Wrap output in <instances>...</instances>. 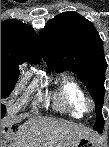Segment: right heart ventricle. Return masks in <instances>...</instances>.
Here are the masks:
<instances>
[{"label":"right heart ventricle","mask_w":109,"mask_h":147,"mask_svg":"<svg viewBox=\"0 0 109 147\" xmlns=\"http://www.w3.org/2000/svg\"><path fill=\"white\" fill-rule=\"evenodd\" d=\"M86 95L81 86L70 76L63 75L53 95V105L68 112L74 118H82L87 113Z\"/></svg>","instance_id":"obj_1"}]
</instances>
